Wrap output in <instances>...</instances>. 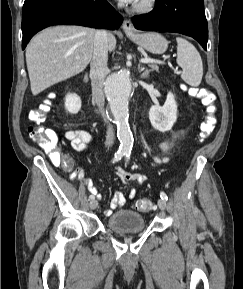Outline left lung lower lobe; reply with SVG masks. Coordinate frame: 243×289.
Returning <instances> with one entry per match:
<instances>
[{
    "label": "left lung lower lobe",
    "mask_w": 243,
    "mask_h": 289,
    "mask_svg": "<svg viewBox=\"0 0 243 289\" xmlns=\"http://www.w3.org/2000/svg\"><path fill=\"white\" fill-rule=\"evenodd\" d=\"M132 21L139 30L191 36L206 50L208 26L204 0H156V6L150 13L134 16Z\"/></svg>",
    "instance_id": "1"
}]
</instances>
